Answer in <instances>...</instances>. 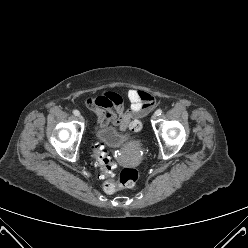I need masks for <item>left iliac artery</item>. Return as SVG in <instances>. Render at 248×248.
I'll return each mask as SVG.
<instances>
[{"instance_id":"left-iliac-artery-1","label":"left iliac artery","mask_w":248,"mask_h":248,"mask_svg":"<svg viewBox=\"0 0 248 248\" xmlns=\"http://www.w3.org/2000/svg\"><path fill=\"white\" fill-rule=\"evenodd\" d=\"M155 114H156L157 116L161 115V114H162V110H161V109L156 110Z\"/></svg>"}]
</instances>
